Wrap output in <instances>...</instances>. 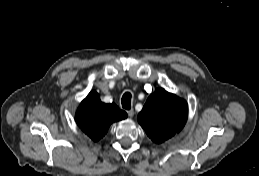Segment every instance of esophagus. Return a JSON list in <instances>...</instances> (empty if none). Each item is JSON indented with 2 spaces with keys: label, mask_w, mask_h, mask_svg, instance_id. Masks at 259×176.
I'll return each instance as SVG.
<instances>
[{
  "label": "esophagus",
  "mask_w": 259,
  "mask_h": 176,
  "mask_svg": "<svg viewBox=\"0 0 259 176\" xmlns=\"http://www.w3.org/2000/svg\"><path fill=\"white\" fill-rule=\"evenodd\" d=\"M127 113H128V116L130 118H132L134 116V110L133 109L128 110Z\"/></svg>",
  "instance_id": "34e87169"
}]
</instances>
